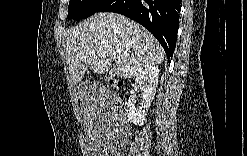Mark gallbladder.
I'll return each mask as SVG.
<instances>
[{
	"label": "gallbladder",
	"instance_id": "1",
	"mask_svg": "<svg viewBox=\"0 0 247 156\" xmlns=\"http://www.w3.org/2000/svg\"><path fill=\"white\" fill-rule=\"evenodd\" d=\"M109 73L112 74L113 73V70L111 69Z\"/></svg>",
	"mask_w": 247,
	"mask_h": 156
}]
</instances>
